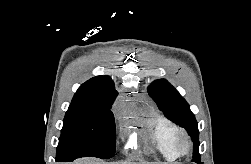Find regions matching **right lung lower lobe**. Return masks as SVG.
<instances>
[{
	"label": "right lung lower lobe",
	"mask_w": 251,
	"mask_h": 164,
	"mask_svg": "<svg viewBox=\"0 0 251 164\" xmlns=\"http://www.w3.org/2000/svg\"><path fill=\"white\" fill-rule=\"evenodd\" d=\"M71 158H56V162H72Z\"/></svg>",
	"instance_id": "98d812e1"
}]
</instances>
